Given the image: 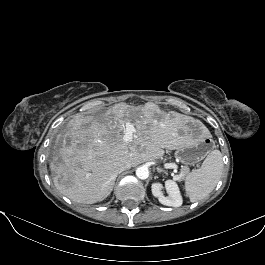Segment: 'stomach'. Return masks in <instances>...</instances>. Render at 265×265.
I'll use <instances>...</instances> for the list:
<instances>
[{
	"label": "stomach",
	"instance_id": "stomach-1",
	"mask_svg": "<svg viewBox=\"0 0 265 265\" xmlns=\"http://www.w3.org/2000/svg\"><path fill=\"white\" fill-rule=\"evenodd\" d=\"M187 145L177 149L176 158L185 165H193L201 161L212 149V142L203 135L193 137Z\"/></svg>",
	"mask_w": 265,
	"mask_h": 265
}]
</instances>
